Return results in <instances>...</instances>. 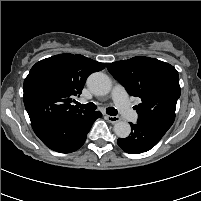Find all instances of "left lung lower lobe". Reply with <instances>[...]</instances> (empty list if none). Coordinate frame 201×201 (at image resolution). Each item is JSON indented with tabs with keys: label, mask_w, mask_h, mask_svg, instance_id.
<instances>
[{
	"label": "left lung lower lobe",
	"mask_w": 201,
	"mask_h": 201,
	"mask_svg": "<svg viewBox=\"0 0 201 201\" xmlns=\"http://www.w3.org/2000/svg\"><path fill=\"white\" fill-rule=\"evenodd\" d=\"M132 132L125 139H118V145L129 154L147 152L153 148L170 128L161 123L140 122L130 123Z\"/></svg>",
	"instance_id": "1"
}]
</instances>
